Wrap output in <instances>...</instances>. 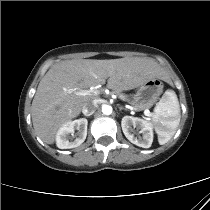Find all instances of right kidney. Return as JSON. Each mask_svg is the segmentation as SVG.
<instances>
[{"label": "right kidney", "mask_w": 210, "mask_h": 210, "mask_svg": "<svg viewBox=\"0 0 210 210\" xmlns=\"http://www.w3.org/2000/svg\"><path fill=\"white\" fill-rule=\"evenodd\" d=\"M87 125L88 121L85 118L68 121L63 124L56 135L57 147L60 149H71L80 146L86 139ZM75 130H77L76 133Z\"/></svg>", "instance_id": "obj_1"}]
</instances>
